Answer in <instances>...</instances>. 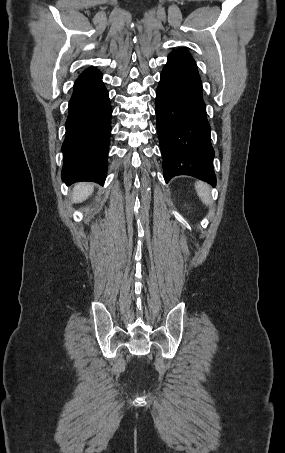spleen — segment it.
Returning <instances> with one entry per match:
<instances>
[{
  "label": "spleen",
  "instance_id": "1",
  "mask_svg": "<svg viewBox=\"0 0 285 453\" xmlns=\"http://www.w3.org/2000/svg\"><path fill=\"white\" fill-rule=\"evenodd\" d=\"M195 189H196L197 194H198L199 198L201 199V201L207 206L210 205L211 196H210L209 186L202 181H198L195 183Z\"/></svg>",
  "mask_w": 285,
  "mask_h": 453
}]
</instances>
